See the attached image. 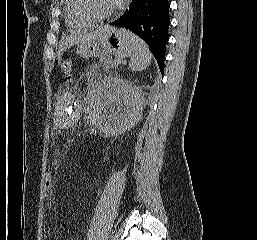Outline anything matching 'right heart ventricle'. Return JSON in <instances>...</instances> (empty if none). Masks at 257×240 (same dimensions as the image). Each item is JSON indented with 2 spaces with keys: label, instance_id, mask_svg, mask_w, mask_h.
<instances>
[{
  "label": "right heart ventricle",
  "instance_id": "right-heart-ventricle-1",
  "mask_svg": "<svg viewBox=\"0 0 257 240\" xmlns=\"http://www.w3.org/2000/svg\"><path fill=\"white\" fill-rule=\"evenodd\" d=\"M64 18L67 29L72 32L86 30L95 25L94 22L81 15L77 0H65Z\"/></svg>",
  "mask_w": 257,
  "mask_h": 240
}]
</instances>
